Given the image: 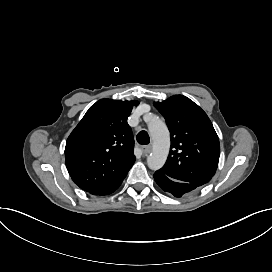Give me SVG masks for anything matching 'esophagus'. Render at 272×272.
Wrapping results in <instances>:
<instances>
[{
    "instance_id": "34e87169",
    "label": "esophagus",
    "mask_w": 272,
    "mask_h": 272,
    "mask_svg": "<svg viewBox=\"0 0 272 272\" xmlns=\"http://www.w3.org/2000/svg\"><path fill=\"white\" fill-rule=\"evenodd\" d=\"M151 146L150 145H147V146H142V151L143 153L145 154H149L151 152Z\"/></svg>"
}]
</instances>
